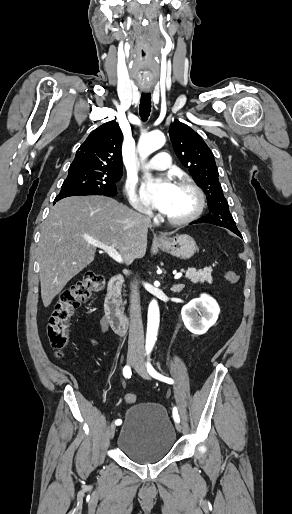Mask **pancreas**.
<instances>
[{
    "label": "pancreas",
    "instance_id": "cf45deb5",
    "mask_svg": "<svg viewBox=\"0 0 292 514\" xmlns=\"http://www.w3.org/2000/svg\"><path fill=\"white\" fill-rule=\"evenodd\" d=\"M211 268H203V270H195V268H189L186 272L185 278L191 280L193 284H203V282H208V284H212V276H211Z\"/></svg>",
    "mask_w": 292,
    "mask_h": 514
}]
</instances>
